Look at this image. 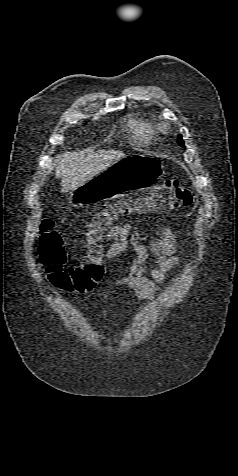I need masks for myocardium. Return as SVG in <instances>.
I'll return each mask as SVG.
<instances>
[{
	"label": "myocardium",
	"instance_id": "1",
	"mask_svg": "<svg viewBox=\"0 0 238 476\" xmlns=\"http://www.w3.org/2000/svg\"><path fill=\"white\" fill-rule=\"evenodd\" d=\"M168 124L167 123H162L160 126H159V129L163 132H166L168 130Z\"/></svg>",
	"mask_w": 238,
	"mask_h": 476
}]
</instances>
